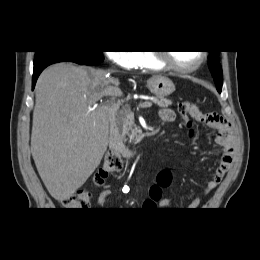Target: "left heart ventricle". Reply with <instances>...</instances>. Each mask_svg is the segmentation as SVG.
Masks as SVG:
<instances>
[{
    "label": "left heart ventricle",
    "instance_id": "left-heart-ventricle-1",
    "mask_svg": "<svg viewBox=\"0 0 260 260\" xmlns=\"http://www.w3.org/2000/svg\"><path fill=\"white\" fill-rule=\"evenodd\" d=\"M172 60L182 66H190L195 64L200 58L198 51H176L171 53Z\"/></svg>",
    "mask_w": 260,
    "mask_h": 260
}]
</instances>
